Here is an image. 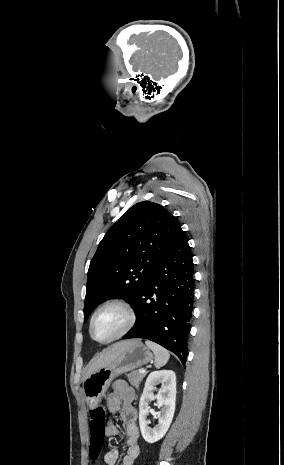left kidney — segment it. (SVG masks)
I'll use <instances>...</instances> for the list:
<instances>
[{"instance_id":"left-kidney-1","label":"left kidney","mask_w":284,"mask_h":465,"mask_svg":"<svg viewBox=\"0 0 284 465\" xmlns=\"http://www.w3.org/2000/svg\"><path fill=\"white\" fill-rule=\"evenodd\" d=\"M162 383L160 395H153L152 391L156 389L155 385ZM157 399V407H162L158 415V425L154 429L148 427L147 415H149L151 407L149 401ZM176 401V375L174 371H153L146 379L144 391L141 395L139 403V425L143 439L147 443H157L165 433H167L175 413Z\"/></svg>"}]
</instances>
